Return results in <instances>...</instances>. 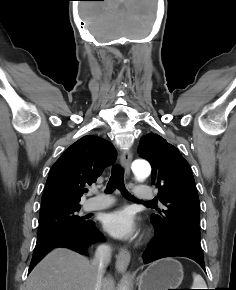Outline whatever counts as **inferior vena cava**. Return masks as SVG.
<instances>
[{"mask_svg":"<svg viewBox=\"0 0 236 290\" xmlns=\"http://www.w3.org/2000/svg\"><path fill=\"white\" fill-rule=\"evenodd\" d=\"M111 261V247L103 244L97 247L91 264L97 268V280L95 290H101V283L104 271Z\"/></svg>","mask_w":236,"mask_h":290,"instance_id":"inferior-vena-cava-1","label":"inferior vena cava"}]
</instances>
